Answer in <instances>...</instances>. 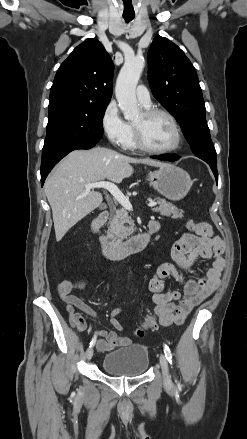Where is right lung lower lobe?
<instances>
[{
	"instance_id": "obj_1",
	"label": "right lung lower lobe",
	"mask_w": 247,
	"mask_h": 439,
	"mask_svg": "<svg viewBox=\"0 0 247 439\" xmlns=\"http://www.w3.org/2000/svg\"><path fill=\"white\" fill-rule=\"evenodd\" d=\"M95 145L96 144H86V145L73 146V147L61 149V150H58L55 152H51V153H48V154L42 156V161H41V184H42V186L45 182L47 175L51 171V169L68 153H70L73 150H77V149H90V148L94 147Z\"/></svg>"
}]
</instances>
